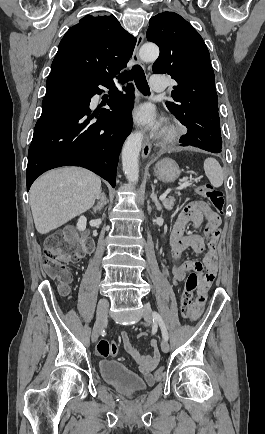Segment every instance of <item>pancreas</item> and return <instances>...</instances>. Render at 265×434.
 <instances>
[{
    "mask_svg": "<svg viewBox=\"0 0 265 434\" xmlns=\"http://www.w3.org/2000/svg\"><path fill=\"white\" fill-rule=\"evenodd\" d=\"M164 208L166 210H172L174 206V202H176L175 198L173 196H168V198H165V200H162Z\"/></svg>",
    "mask_w": 265,
    "mask_h": 434,
    "instance_id": "pancreas-1",
    "label": "pancreas"
}]
</instances>
